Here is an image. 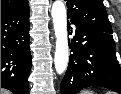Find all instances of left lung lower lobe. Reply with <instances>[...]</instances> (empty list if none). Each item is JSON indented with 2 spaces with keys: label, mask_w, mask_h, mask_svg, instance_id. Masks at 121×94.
<instances>
[{
  "label": "left lung lower lobe",
  "mask_w": 121,
  "mask_h": 94,
  "mask_svg": "<svg viewBox=\"0 0 121 94\" xmlns=\"http://www.w3.org/2000/svg\"><path fill=\"white\" fill-rule=\"evenodd\" d=\"M71 23L76 30L70 43L72 53L60 94H77L90 86L105 87L121 94V69L112 34Z\"/></svg>",
  "instance_id": "left-lung-lower-lobe-1"
}]
</instances>
